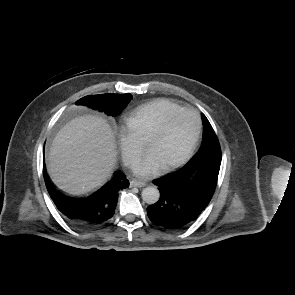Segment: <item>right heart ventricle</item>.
Returning a JSON list of instances; mask_svg holds the SVG:
<instances>
[{"instance_id":"e07e8e85","label":"right heart ventricle","mask_w":295,"mask_h":295,"mask_svg":"<svg viewBox=\"0 0 295 295\" xmlns=\"http://www.w3.org/2000/svg\"><path fill=\"white\" fill-rule=\"evenodd\" d=\"M182 108L172 100L157 99L130 112L125 124L133 136L144 143L168 115Z\"/></svg>"}]
</instances>
